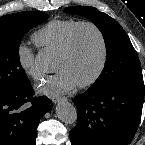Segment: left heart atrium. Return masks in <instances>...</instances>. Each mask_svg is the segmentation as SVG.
Listing matches in <instances>:
<instances>
[{
	"label": "left heart atrium",
	"instance_id": "obj_1",
	"mask_svg": "<svg viewBox=\"0 0 145 145\" xmlns=\"http://www.w3.org/2000/svg\"><path fill=\"white\" fill-rule=\"evenodd\" d=\"M76 85L73 77L62 70L51 76L41 87V91L50 95H59L73 90Z\"/></svg>",
	"mask_w": 145,
	"mask_h": 145
}]
</instances>
